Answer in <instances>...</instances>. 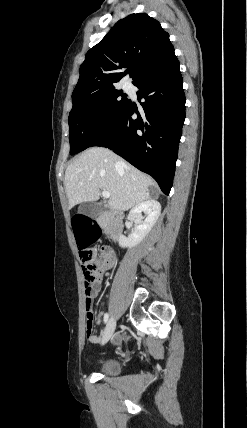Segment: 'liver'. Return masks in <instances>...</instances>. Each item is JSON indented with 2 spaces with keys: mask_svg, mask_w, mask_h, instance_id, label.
Segmentation results:
<instances>
[{
  "mask_svg": "<svg viewBox=\"0 0 247 428\" xmlns=\"http://www.w3.org/2000/svg\"><path fill=\"white\" fill-rule=\"evenodd\" d=\"M149 187L157 188L152 178L102 147L87 149L65 172L69 208L97 201L103 190L110 193L111 209L127 211L151 199Z\"/></svg>",
  "mask_w": 247,
  "mask_h": 428,
  "instance_id": "1",
  "label": "liver"
}]
</instances>
